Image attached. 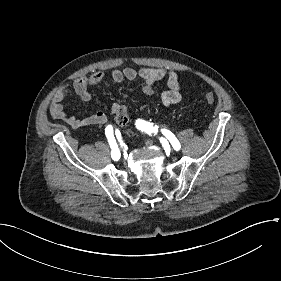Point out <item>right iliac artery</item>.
Here are the masks:
<instances>
[{
  "instance_id": "1",
  "label": "right iliac artery",
  "mask_w": 281,
  "mask_h": 281,
  "mask_svg": "<svg viewBox=\"0 0 281 281\" xmlns=\"http://www.w3.org/2000/svg\"><path fill=\"white\" fill-rule=\"evenodd\" d=\"M105 134L108 138V141H109V144H110V147L112 149L111 151V157L113 160H118L120 158V151L118 149V146H117V143H116V140L114 138V135H113V127L111 125H108L105 129Z\"/></svg>"
}]
</instances>
